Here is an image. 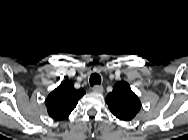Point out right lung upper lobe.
<instances>
[{
    "label": "right lung upper lobe",
    "mask_w": 188,
    "mask_h": 140,
    "mask_svg": "<svg viewBox=\"0 0 188 140\" xmlns=\"http://www.w3.org/2000/svg\"><path fill=\"white\" fill-rule=\"evenodd\" d=\"M84 94V89L77 90L71 81H63L46 99L49 116L57 121L65 119Z\"/></svg>",
    "instance_id": "cb5924a9"
}]
</instances>
